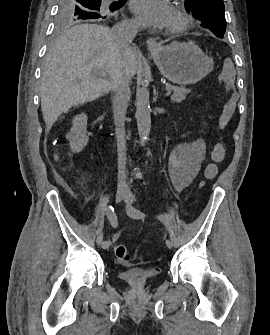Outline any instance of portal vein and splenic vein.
I'll return each mask as SVG.
<instances>
[{
    "instance_id": "portal-vein-and-splenic-vein-1",
    "label": "portal vein and splenic vein",
    "mask_w": 270,
    "mask_h": 335,
    "mask_svg": "<svg viewBox=\"0 0 270 335\" xmlns=\"http://www.w3.org/2000/svg\"><path fill=\"white\" fill-rule=\"evenodd\" d=\"M166 96H171V90H168V93H166Z\"/></svg>"
}]
</instances>
